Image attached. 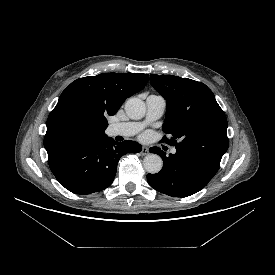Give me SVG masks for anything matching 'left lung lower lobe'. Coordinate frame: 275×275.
I'll use <instances>...</instances> for the list:
<instances>
[{"instance_id": "0a47b994", "label": "left lung lower lobe", "mask_w": 275, "mask_h": 275, "mask_svg": "<svg viewBox=\"0 0 275 275\" xmlns=\"http://www.w3.org/2000/svg\"><path fill=\"white\" fill-rule=\"evenodd\" d=\"M151 153L163 160L159 173L148 174L147 181L155 190L172 197H187L203 189L217 173L219 166L188 152L169 154L152 147Z\"/></svg>"}]
</instances>
